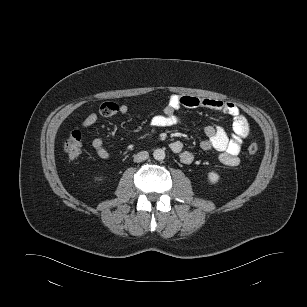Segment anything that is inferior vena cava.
I'll return each mask as SVG.
<instances>
[{"mask_svg":"<svg viewBox=\"0 0 307 307\" xmlns=\"http://www.w3.org/2000/svg\"><path fill=\"white\" fill-rule=\"evenodd\" d=\"M149 157V153L147 151H141L134 155V162H142Z\"/></svg>","mask_w":307,"mask_h":307,"instance_id":"1","label":"inferior vena cava"}]
</instances>
